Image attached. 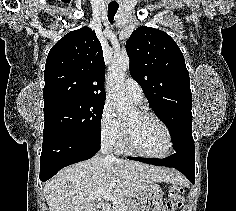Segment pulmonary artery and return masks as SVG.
<instances>
[{
	"instance_id": "pulmonary-artery-1",
	"label": "pulmonary artery",
	"mask_w": 236,
	"mask_h": 211,
	"mask_svg": "<svg viewBox=\"0 0 236 211\" xmlns=\"http://www.w3.org/2000/svg\"><path fill=\"white\" fill-rule=\"evenodd\" d=\"M126 95L135 103H141L144 95L140 84L132 78H128L124 85Z\"/></svg>"
}]
</instances>
